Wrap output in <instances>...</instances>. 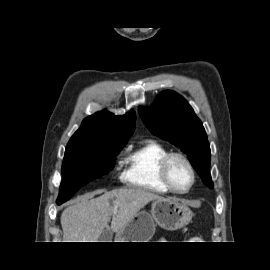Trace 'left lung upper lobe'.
Listing matches in <instances>:
<instances>
[{
	"label": "left lung upper lobe",
	"instance_id": "left-lung-upper-lobe-1",
	"mask_svg": "<svg viewBox=\"0 0 270 270\" xmlns=\"http://www.w3.org/2000/svg\"><path fill=\"white\" fill-rule=\"evenodd\" d=\"M139 114L153 134L180 147L204 184L213 188L207 135L187 101L175 92L164 91L151 108L139 107Z\"/></svg>",
	"mask_w": 270,
	"mask_h": 270
}]
</instances>
